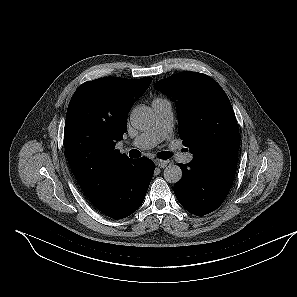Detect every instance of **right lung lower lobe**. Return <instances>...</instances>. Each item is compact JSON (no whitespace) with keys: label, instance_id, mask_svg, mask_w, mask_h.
<instances>
[{"label":"right lung lower lobe","instance_id":"obj_1","mask_svg":"<svg viewBox=\"0 0 297 297\" xmlns=\"http://www.w3.org/2000/svg\"><path fill=\"white\" fill-rule=\"evenodd\" d=\"M154 169L153 161L146 157L132 159L115 179L105 199L95 207L114 219L129 216L142 204Z\"/></svg>","mask_w":297,"mask_h":297}]
</instances>
